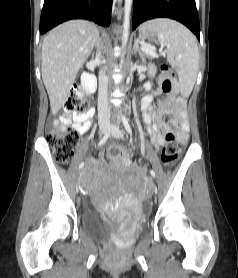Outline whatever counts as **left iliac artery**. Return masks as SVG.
Masks as SVG:
<instances>
[{
  "mask_svg": "<svg viewBox=\"0 0 238 278\" xmlns=\"http://www.w3.org/2000/svg\"><path fill=\"white\" fill-rule=\"evenodd\" d=\"M122 121H123V125H124L126 131H127L130 135H132L131 127H130V125H129L127 119L125 118V116H122ZM150 174H151L152 177H156V174H155L154 170H150Z\"/></svg>",
  "mask_w": 238,
  "mask_h": 278,
  "instance_id": "left-iliac-artery-1",
  "label": "left iliac artery"
}]
</instances>
